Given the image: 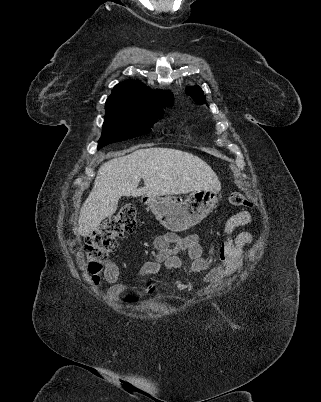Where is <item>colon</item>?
I'll use <instances>...</instances> for the list:
<instances>
[{"instance_id":"5ec220e1","label":"colon","mask_w":321,"mask_h":402,"mask_svg":"<svg viewBox=\"0 0 321 402\" xmlns=\"http://www.w3.org/2000/svg\"><path fill=\"white\" fill-rule=\"evenodd\" d=\"M228 201L235 207L250 205L247 197L239 192L231 193ZM136 226V208L124 205L85 237L83 252L88 272L95 283L100 282L104 263L108 255L116 249L117 240L132 233Z\"/></svg>"}]
</instances>
